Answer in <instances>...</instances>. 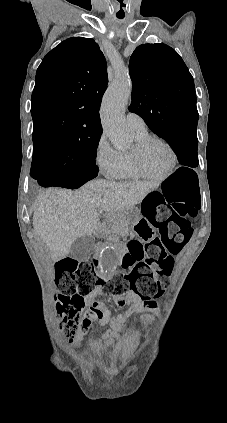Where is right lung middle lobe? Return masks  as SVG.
I'll return each instance as SVG.
<instances>
[{"instance_id":"right-lung-middle-lobe-1","label":"right lung middle lobe","mask_w":227,"mask_h":423,"mask_svg":"<svg viewBox=\"0 0 227 423\" xmlns=\"http://www.w3.org/2000/svg\"><path fill=\"white\" fill-rule=\"evenodd\" d=\"M100 136L94 134L69 145L34 150L30 175L36 174L38 164L53 160L82 176L96 177L99 170L95 159Z\"/></svg>"}]
</instances>
